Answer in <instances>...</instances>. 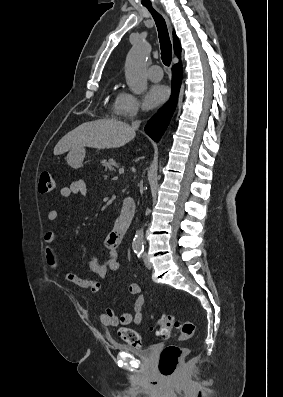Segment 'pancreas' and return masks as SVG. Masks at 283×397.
<instances>
[{
	"label": "pancreas",
	"mask_w": 283,
	"mask_h": 397,
	"mask_svg": "<svg viewBox=\"0 0 283 397\" xmlns=\"http://www.w3.org/2000/svg\"><path fill=\"white\" fill-rule=\"evenodd\" d=\"M102 166L104 167V170L107 172L108 170H115L116 167H119V164L115 162V160L110 159L108 161L103 160L102 162Z\"/></svg>",
	"instance_id": "pancreas-1"
}]
</instances>
